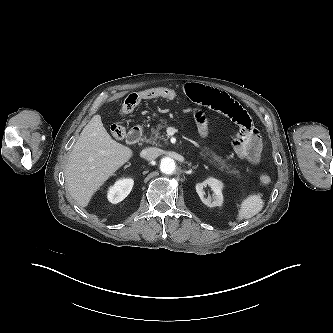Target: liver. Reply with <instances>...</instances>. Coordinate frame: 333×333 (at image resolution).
Instances as JSON below:
<instances>
[{
	"mask_svg": "<svg viewBox=\"0 0 333 333\" xmlns=\"http://www.w3.org/2000/svg\"><path fill=\"white\" fill-rule=\"evenodd\" d=\"M133 151L111 138L100 115L83 128L65 167L68 191L86 207L94 193L132 157Z\"/></svg>",
	"mask_w": 333,
	"mask_h": 333,
	"instance_id": "6515ba94",
	"label": "liver"
}]
</instances>
